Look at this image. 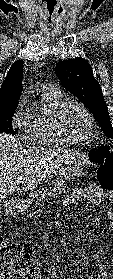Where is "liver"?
I'll return each mask as SVG.
<instances>
[{"label":"liver","mask_w":113,"mask_h":279,"mask_svg":"<svg viewBox=\"0 0 113 279\" xmlns=\"http://www.w3.org/2000/svg\"><path fill=\"white\" fill-rule=\"evenodd\" d=\"M71 150L25 149L10 134H0V200L33 190L59 169Z\"/></svg>","instance_id":"6515ba94"}]
</instances>
